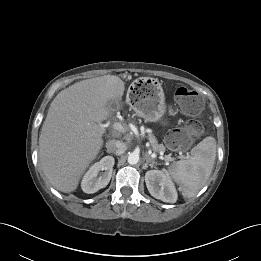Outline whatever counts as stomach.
Masks as SVG:
<instances>
[{"instance_id":"obj_1","label":"stomach","mask_w":261,"mask_h":261,"mask_svg":"<svg viewBox=\"0 0 261 261\" xmlns=\"http://www.w3.org/2000/svg\"><path fill=\"white\" fill-rule=\"evenodd\" d=\"M140 82H135V87ZM138 94L130 95L129 101L137 114L146 122L160 121L166 112L165 95L157 79L145 78L137 88Z\"/></svg>"}]
</instances>
